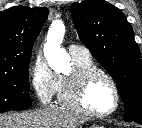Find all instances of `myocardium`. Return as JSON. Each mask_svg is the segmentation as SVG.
I'll list each match as a JSON object with an SVG mask.
<instances>
[{"mask_svg":"<svg viewBox=\"0 0 142 128\" xmlns=\"http://www.w3.org/2000/svg\"><path fill=\"white\" fill-rule=\"evenodd\" d=\"M103 77L112 87L115 96L114 107L107 112H96L88 108L85 104V92L93 79ZM67 89V101L74 110L91 117L105 118L114 114L120 105L121 96L115 80L102 69L75 68L73 72L65 77Z\"/></svg>","mask_w":142,"mask_h":128,"instance_id":"1","label":"myocardium"}]
</instances>
